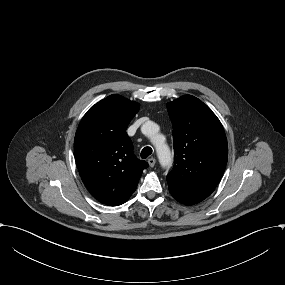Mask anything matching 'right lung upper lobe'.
I'll return each instance as SVG.
<instances>
[{
	"instance_id": "cb5924a9",
	"label": "right lung upper lobe",
	"mask_w": 285,
	"mask_h": 285,
	"mask_svg": "<svg viewBox=\"0 0 285 285\" xmlns=\"http://www.w3.org/2000/svg\"><path fill=\"white\" fill-rule=\"evenodd\" d=\"M139 104L118 94L92 106L75 134V160L89 192L101 203L118 206L136 190L148 163L133 153L127 126Z\"/></svg>"
}]
</instances>
